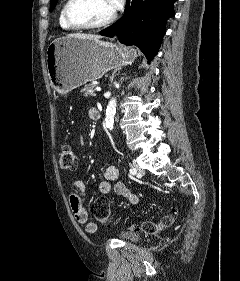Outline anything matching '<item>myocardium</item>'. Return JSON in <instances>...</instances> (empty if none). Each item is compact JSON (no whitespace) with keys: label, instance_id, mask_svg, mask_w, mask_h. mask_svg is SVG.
<instances>
[{"label":"myocardium","instance_id":"myocardium-1","mask_svg":"<svg viewBox=\"0 0 240 281\" xmlns=\"http://www.w3.org/2000/svg\"><path fill=\"white\" fill-rule=\"evenodd\" d=\"M74 2H75V0H67V2L64 5V8H63V15H64L65 22L73 29L88 30V29L102 28V27H105V26L109 25L110 23H112L116 18V12L114 11L108 18H106L103 21L97 22V23L77 22L76 20L73 19V17L71 16V13H70L71 6L73 5Z\"/></svg>","mask_w":240,"mask_h":281}]
</instances>
